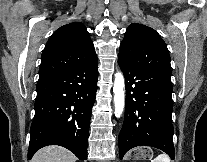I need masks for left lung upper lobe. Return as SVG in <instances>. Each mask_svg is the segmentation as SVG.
Masks as SVG:
<instances>
[{
  "instance_id": "5c2ea615",
  "label": "left lung upper lobe",
  "mask_w": 207,
  "mask_h": 162,
  "mask_svg": "<svg viewBox=\"0 0 207 162\" xmlns=\"http://www.w3.org/2000/svg\"><path fill=\"white\" fill-rule=\"evenodd\" d=\"M118 60L141 70L171 77L167 46L160 35L146 25L132 23L127 28Z\"/></svg>"
}]
</instances>
